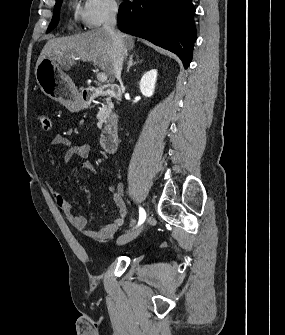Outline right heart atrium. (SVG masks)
I'll list each match as a JSON object with an SVG mask.
<instances>
[{
	"instance_id": "obj_1",
	"label": "right heart atrium",
	"mask_w": 285,
	"mask_h": 335,
	"mask_svg": "<svg viewBox=\"0 0 285 335\" xmlns=\"http://www.w3.org/2000/svg\"><path fill=\"white\" fill-rule=\"evenodd\" d=\"M117 1H84L81 7L73 12L76 23L94 30L113 20L119 12Z\"/></svg>"
}]
</instances>
